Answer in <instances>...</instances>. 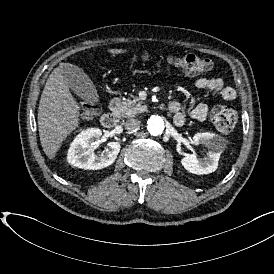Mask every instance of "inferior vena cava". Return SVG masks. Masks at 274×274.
<instances>
[{"instance_id": "inferior-vena-cava-1", "label": "inferior vena cava", "mask_w": 274, "mask_h": 274, "mask_svg": "<svg viewBox=\"0 0 274 274\" xmlns=\"http://www.w3.org/2000/svg\"><path fill=\"white\" fill-rule=\"evenodd\" d=\"M141 126V121L135 118L126 120L124 123V128L128 131H136Z\"/></svg>"}]
</instances>
